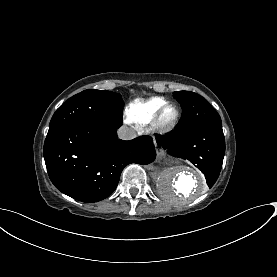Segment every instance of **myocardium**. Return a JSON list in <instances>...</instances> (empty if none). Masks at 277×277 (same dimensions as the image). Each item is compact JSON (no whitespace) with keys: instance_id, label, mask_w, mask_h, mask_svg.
<instances>
[{"instance_id":"f54148a6","label":"myocardium","mask_w":277,"mask_h":277,"mask_svg":"<svg viewBox=\"0 0 277 277\" xmlns=\"http://www.w3.org/2000/svg\"><path fill=\"white\" fill-rule=\"evenodd\" d=\"M171 107L174 108L175 110L174 118L172 119L171 122L164 123L162 119L163 114L168 108H171ZM179 118H180L179 108L173 103L166 102L163 105H161L155 112L152 120L150 121V129L155 134L163 135V134L169 133L176 127V125L179 122Z\"/></svg>"}]
</instances>
